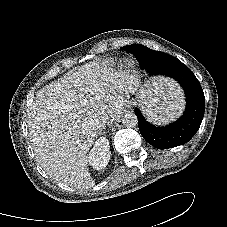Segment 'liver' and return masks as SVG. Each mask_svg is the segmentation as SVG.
<instances>
[{
  "label": "liver",
  "instance_id": "6515ba94",
  "mask_svg": "<svg viewBox=\"0 0 227 227\" xmlns=\"http://www.w3.org/2000/svg\"><path fill=\"white\" fill-rule=\"evenodd\" d=\"M123 80V74L92 62L38 91L27 111L29 137L38 163L55 181L76 189L94 186L88 153L120 103ZM177 99L183 107L181 94Z\"/></svg>",
  "mask_w": 227,
  "mask_h": 227
}]
</instances>
